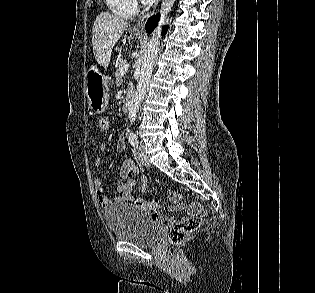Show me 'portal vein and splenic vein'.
Instances as JSON below:
<instances>
[{
  "instance_id": "1",
  "label": "portal vein and splenic vein",
  "mask_w": 315,
  "mask_h": 293,
  "mask_svg": "<svg viewBox=\"0 0 315 293\" xmlns=\"http://www.w3.org/2000/svg\"><path fill=\"white\" fill-rule=\"evenodd\" d=\"M129 65L127 62L124 63L123 67H122V74H125L128 71Z\"/></svg>"
}]
</instances>
